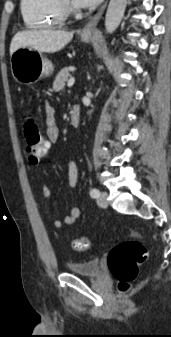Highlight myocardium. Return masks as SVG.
<instances>
[{
  "label": "myocardium",
  "mask_w": 171,
  "mask_h": 337,
  "mask_svg": "<svg viewBox=\"0 0 171 337\" xmlns=\"http://www.w3.org/2000/svg\"><path fill=\"white\" fill-rule=\"evenodd\" d=\"M58 1H59L61 10H62V12L64 13L65 16L74 13L75 10H74V8L71 5L69 0H58Z\"/></svg>",
  "instance_id": "myocardium-1"
}]
</instances>
